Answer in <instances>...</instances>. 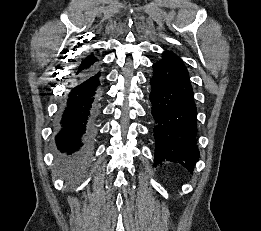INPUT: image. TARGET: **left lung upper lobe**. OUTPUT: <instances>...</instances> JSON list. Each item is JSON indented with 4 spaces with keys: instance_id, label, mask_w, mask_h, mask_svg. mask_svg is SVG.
Returning <instances> with one entry per match:
<instances>
[{
    "instance_id": "5c2ea615",
    "label": "left lung upper lobe",
    "mask_w": 261,
    "mask_h": 231,
    "mask_svg": "<svg viewBox=\"0 0 261 231\" xmlns=\"http://www.w3.org/2000/svg\"><path fill=\"white\" fill-rule=\"evenodd\" d=\"M165 56L169 57L170 59H172L174 62H176L178 65H180L182 68L186 69V66L184 65V63L182 62V60L176 56L173 52H164L163 53Z\"/></svg>"
}]
</instances>
